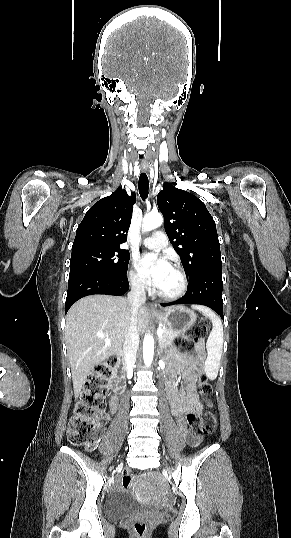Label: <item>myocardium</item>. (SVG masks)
I'll list each match as a JSON object with an SVG mask.
<instances>
[{"label": "myocardium", "instance_id": "myocardium-1", "mask_svg": "<svg viewBox=\"0 0 291 538\" xmlns=\"http://www.w3.org/2000/svg\"><path fill=\"white\" fill-rule=\"evenodd\" d=\"M171 268L179 275L180 277V280H181V285H180V288L173 292V293H166V292H163L161 290H159L158 288L156 289V294L162 298V299H165V300H177V299H180L181 297H183L187 290H188V287H189V281H188V277L186 275V273L184 272V270L178 266V265H173L171 266Z\"/></svg>", "mask_w": 291, "mask_h": 538}]
</instances>
